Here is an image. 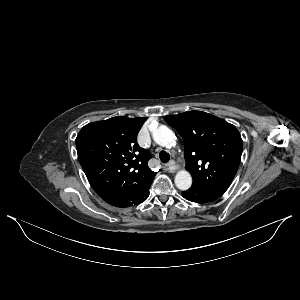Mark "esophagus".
<instances>
[{"instance_id": "obj_1", "label": "esophagus", "mask_w": 300, "mask_h": 300, "mask_svg": "<svg viewBox=\"0 0 300 300\" xmlns=\"http://www.w3.org/2000/svg\"><path fill=\"white\" fill-rule=\"evenodd\" d=\"M166 168L169 172L173 173L177 170V165L175 164L174 161H170L167 165Z\"/></svg>"}]
</instances>
